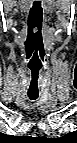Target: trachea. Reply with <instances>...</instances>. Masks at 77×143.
Instances as JSON below:
<instances>
[{
  "label": "trachea",
  "mask_w": 77,
  "mask_h": 143,
  "mask_svg": "<svg viewBox=\"0 0 77 143\" xmlns=\"http://www.w3.org/2000/svg\"><path fill=\"white\" fill-rule=\"evenodd\" d=\"M28 97L30 100H36L38 98V95H29L28 94Z\"/></svg>",
  "instance_id": "trachea-1"
}]
</instances>
